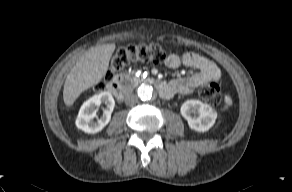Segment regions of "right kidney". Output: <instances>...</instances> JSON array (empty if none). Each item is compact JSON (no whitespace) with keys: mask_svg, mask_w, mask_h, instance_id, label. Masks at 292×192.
<instances>
[{"mask_svg":"<svg viewBox=\"0 0 292 192\" xmlns=\"http://www.w3.org/2000/svg\"><path fill=\"white\" fill-rule=\"evenodd\" d=\"M102 103L106 105L103 111V115L97 121L93 119L96 117L98 106ZM115 101L110 92L104 91L97 95L92 96L85 101L81 106L78 117L76 119L77 128L81 129L85 133L94 134L101 131L111 119V113L113 112Z\"/></svg>","mask_w":292,"mask_h":192,"instance_id":"obj_1","label":"right kidney"}]
</instances>
